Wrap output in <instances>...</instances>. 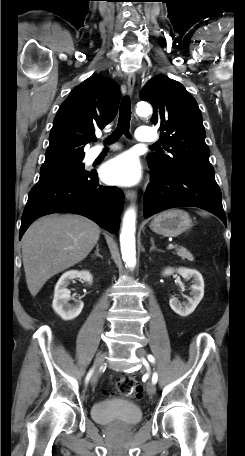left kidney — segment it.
I'll return each mask as SVG.
<instances>
[{
	"instance_id": "1",
	"label": "left kidney",
	"mask_w": 245,
	"mask_h": 456,
	"mask_svg": "<svg viewBox=\"0 0 245 456\" xmlns=\"http://www.w3.org/2000/svg\"><path fill=\"white\" fill-rule=\"evenodd\" d=\"M174 272L180 274L184 279L192 278L193 282L190 292V295L192 297L187 298V303H180L176 298H171L169 300V305L172 310L178 315L185 317L190 315L202 300L204 296V281L202 275L198 271L187 268H178L175 270L172 268H167L163 272V276H170Z\"/></svg>"
}]
</instances>
